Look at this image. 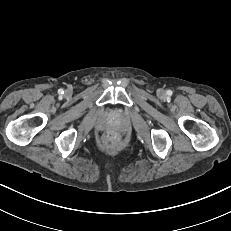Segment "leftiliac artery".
<instances>
[{
	"label": "left iliac artery",
	"mask_w": 231,
	"mask_h": 231,
	"mask_svg": "<svg viewBox=\"0 0 231 231\" xmlns=\"http://www.w3.org/2000/svg\"><path fill=\"white\" fill-rule=\"evenodd\" d=\"M167 95H172V91L171 90H167Z\"/></svg>",
	"instance_id": "left-iliac-artery-1"
}]
</instances>
